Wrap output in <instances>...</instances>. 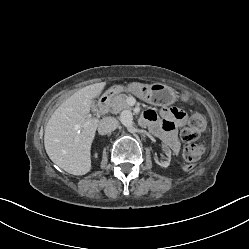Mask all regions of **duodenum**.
<instances>
[{
	"mask_svg": "<svg viewBox=\"0 0 249 249\" xmlns=\"http://www.w3.org/2000/svg\"><path fill=\"white\" fill-rule=\"evenodd\" d=\"M112 95L114 94L109 91L100 99L98 109L101 114L106 112L108 101Z\"/></svg>",
	"mask_w": 249,
	"mask_h": 249,
	"instance_id": "410a0bca",
	"label": "duodenum"
}]
</instances>
